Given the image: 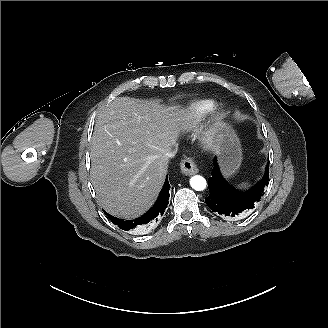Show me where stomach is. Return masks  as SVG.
Segmentation results:
<instances>
[{
  "label": "stomach",
  "instance_id": "1",
  "mask_svg": "<svg viewBox=\"0 0 328 328\" xmlns=\"http://www.w3.org/2000/svg\"><path fill=\"white\" fill-rule=\"evenodd\" d=\"M211 148L217 156L222 175L232 177L243 160L242 147L235 130L225 122L216 123L211 129Z\"/></svg>",
  "mask_w": 328,
  "mask_h": 328
}]
</instances>
